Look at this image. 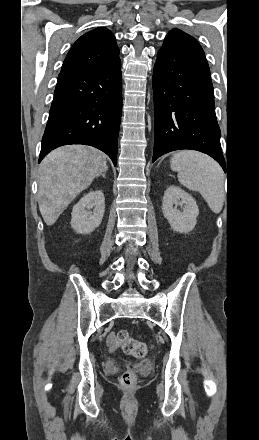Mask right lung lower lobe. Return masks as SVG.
Here are the masks:
<instances>
[{
	"mask_svg": "<svg viewBox=\"0 0 259 440\" xmlns=\"http://www.w3.org/2000/svg\"><path fill=\"white\" fill-rule=\"evenodd\" d=\"M121 111L119 57L93 69L59 74L38 162L59 146L85 144L105 152L116 165Z\"/></svg>",
	"mask_w": 259,
	"mask_h": 440,
	"instance_id": "98d812e1",
	"label": "right lung lower lobe"
}]
</instances>
